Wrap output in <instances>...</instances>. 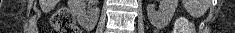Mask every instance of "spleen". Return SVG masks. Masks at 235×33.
<instances>
[{
  "label": "spleen",
  "instance_id": "spleen-1",
  "mask_svg": "<svg viewBox=\"0 0 235 33\" xmlns=\"http://www.w3.org/2000/svg\"><path fill=\"white\" fill-rule=\"evenodd\" d=\"M192 14H196V11L192 12Z\"/></svg>",
  "mask_w": 235,
  "mask_h": 33
}]
</instances>
